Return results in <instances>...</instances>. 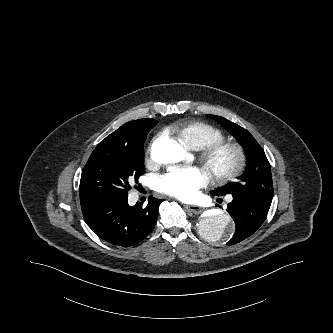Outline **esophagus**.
Masks as SVG:
<instances>
[{
  "label": "esophagus",
  "mask_w": 333,
  "mask_h": 333,
  "mask_svg": "<svg viewBox=\"0 0 333 333\" xmlns=\"http://www.w3.org/2000/svg\"><path fill=\"white\" fill-rule=\"evenodd\" d=\"M184 207L191 213L198 215L201 214L203 212V208H201L200 206L197 205H184Z\"/></svg>",
  "instance_id": "34e87169"
}]
</instances>
